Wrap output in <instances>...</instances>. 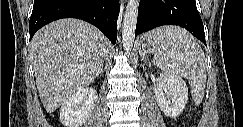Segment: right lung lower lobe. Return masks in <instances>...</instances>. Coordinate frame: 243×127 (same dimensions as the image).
Here are the masks:
<instances>
[{"label":"right lung lower lobe","instance_id":"98d812e1","mask_svg":"<svg viewBox=\"0 0 243 127\" xmlns=\"http://www.w3.org/2000/svg\"><path fill=\"white\" fill-rule=\"evenodd\" d=\"M119 9L118 0H34L29 21L30 39L52 21L78 18L95 25L115 44Z\"/></svg>","mask_w":243,"mask_h":127}]
</instances>
